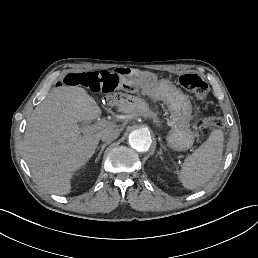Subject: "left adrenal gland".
I'll use <instances>...</instances> for the list:
<instances>
[{
	"label": "left adrenal gland",
	"mask_w": 258,
	"mask_h": 258,
	"mask_svg": "<svg viewBox=\"0 0 258 258\" xmlns=\"http://www.w3.org/2000/svg\"><path fill=\"white\" fill-rule=\"evenodd\" d=\"M158 154H163L162 152V148H160L159 152H157Z\"/></svg>",
	"instance_id": "obj_1"
}]
</instances>
